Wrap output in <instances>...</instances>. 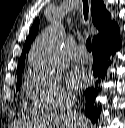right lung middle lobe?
<instances>
[{"label":"right lung middle lobe","instance_id":"right-lung-middle-lobe-1","mask_svg":"<svg viewBox=\"0 0 125 128\" xmlns=\"http://www.w3.org/2000/svg\"><path fill=\"white\" fill-rule=\"evenodd\" d=\"M21 82H22V72L17 74L16 90H18L20 88Z\"/></svg>","mask_w":125,"mask_h":128}]
</instances>
